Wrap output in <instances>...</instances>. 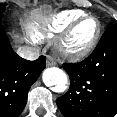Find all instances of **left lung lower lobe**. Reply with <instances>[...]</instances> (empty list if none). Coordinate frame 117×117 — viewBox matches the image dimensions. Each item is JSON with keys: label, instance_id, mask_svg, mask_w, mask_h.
<instances>
[{"label": "left lung lower lobe", "instance_id": "left-lung-lower-lobe-1", "mask_svg": "<svg viewBox=\"0 0 117 117\" xmlns=\"http://www.w3.org/2000/svg\"><path fill=\"white\" fill-rule=\"evenodd\" d=\"M71 84L57 99L65 117H114L117 114V25L109 28L85 60L64 63Z\"/></svg>", "mask_w": 117, "mask_h": 117}]
</instances>
